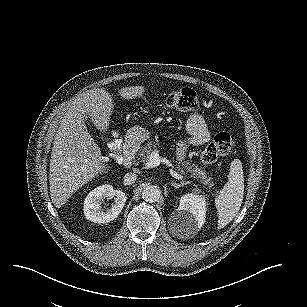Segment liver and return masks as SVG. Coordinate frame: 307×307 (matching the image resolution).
I'll return each instance as SVG.
<instances>
[{"label":"liver","mask_w":307,"mask_h":307,"mask_svg":"<svg viewBox=\"0 0 307 307\" xmlns=\"http://www.w3.org/2000/svg\"><path fill=\"white\" fill-rule=\"evenodd\" d=\"M143 88L127 87L120 91L125 98L141 96ZM113 107L110 95L102 90H88L78 97L63 116L54 136L49 165L50 196L60 208L80 185L101 170V150L82 120L91 117L99 129H105Z\"/></svg>","instance_id":"6515ba94"}]
</instances>
